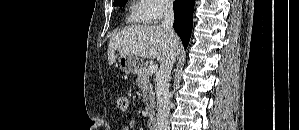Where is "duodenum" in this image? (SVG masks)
<instances>
[{"label":"duodenum","mask_w":299,"mask_h":130,"mask_svg":"<svg viewBox=\"0 0 299 130\" xmlns=\"http://www.w3.org/2000/svg\"><path fill=\"white\" fill-rule=\"evenodd\" d=\"M148 122V127L151 129V130H158V118L155 117V116H150L147 120Z\"/></svg>","instance_id":"obj_1"}]
</instances>
